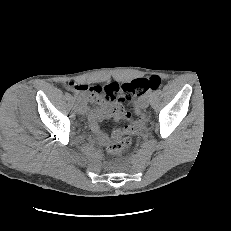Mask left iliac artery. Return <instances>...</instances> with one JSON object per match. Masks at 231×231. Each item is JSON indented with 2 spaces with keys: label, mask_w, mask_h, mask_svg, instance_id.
I'll return each instance as SVG.
<instances>
[{
  "label": "left iliac artery",
  "mask_w": 231,
  "mask_h": 231,
  "mask_svg": "<svg viewBox=\"0 0 231 231\" xmlns=\"http://www.w3.org/2000/svg\"><path fill=\"white\" fill-rule=\"evenodd\" d=\"M151 94H152V91H149V92L147 93L148 96H151Z\"/></svg>",
  "instance_id": "obj_1"
}]
</instances>
